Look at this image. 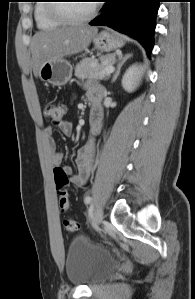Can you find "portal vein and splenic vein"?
Wrapping results in <instances>:
<instances>
[{"label": "portal vein and splenic vein", "instance_id": "portal-vein-and-splenic-vein-1", "mask_svg": "<svg viewBox=\"0 0 195 299\" xmlns=\"http://www.w3.org/2000/svg\"><path fill=\"white\" fill-rule=\"evenodd\" d=\"M113 71H114V67L108 66L100 72V75L111 74Z\"/></svg>", "mask_w": 195, "mask_h": 299}]
</instances>
